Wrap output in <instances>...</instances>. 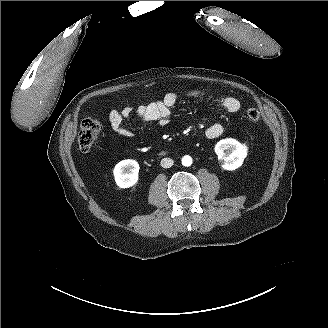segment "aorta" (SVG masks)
Returning a JSON list of instances; mask_svg holds the SVG:
<instances>
[{
    "label": "aorta",
    "mask_w": 328,
    "mask_h": 328,
    "mask_svg": "<svg viewBox=\"0 0 328 328\" xmlns=\"http://www.w3.org/2000/svg\"><path fill=\"white\" fill-rule=\"evenodd\" d=\"M181 161L182 165L186 167H189L192 164V158L189 155H185Z\"/></svg>",
    "instance_id": "762f6f07"
}]
</instances>
